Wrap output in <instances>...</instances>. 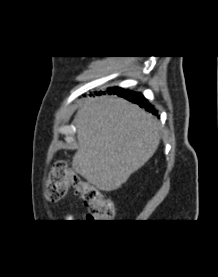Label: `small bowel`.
Returning <instances> with one entry per match:
<instances>
[{
    "mask_svg": "<svg viewBox=\"0 0 218 277\" xmlns=\"http://www.w3.org/2000/svg\"><path fill=\"white\" fill-rule=\"evenodd\" d=\"M64 220H66L65 222H71V220H73V216L67 213L64 217Z\"/></svg>",
    "mask_w": 218,
    "mask_h": 277,
    "instance_id": "c3829d8e",
    "label": "small bowel"
}]
</instances>
